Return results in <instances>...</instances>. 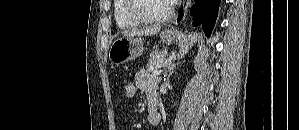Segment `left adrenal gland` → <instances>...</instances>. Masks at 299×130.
Instances as JSON below:
<instances>
[{
  "label": "left adrenal gland",
  "instance_id": "obj_1",
  "mask_svg": "<svg viewBox=\"0 0 299 130\" xmlns=\"http://www.w3.org/2000/svg\"><path fill=\"white\" fill-rule=\"evenodd\" d=\"M173 68H175V65H172V64L169 65L167 70H166V73H170L173 70Z\"/></svg>",
  "mask_w": 299,
  "mask_h": 130
}]
</instances>
